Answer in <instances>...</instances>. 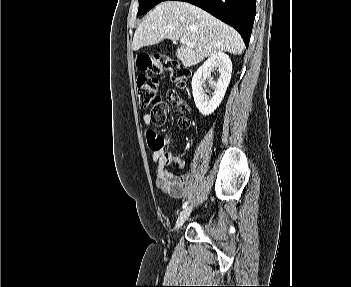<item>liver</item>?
Masks as SVG:
<instances>
[{"label":"liver","mask_w":351,"mask_h":287,"mask_svg":"<svg viewBox=\"0 0 351 287\" xmlns=\"http://www.w3.org/2000/svg\"><path fill=\"white\" fill-rule=\"evenodd\" d=\"M181 38L194 44V47L182 44L176 51L184 67L196 65L218 52L241 55L245 47L235 29L201 8L187 2L166 1L150 11L138 26L132 48L137 51L164 39Z\"/></svg>","instance_id":"1"}]
</instances>
